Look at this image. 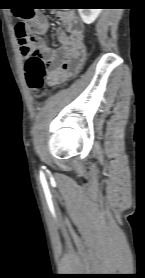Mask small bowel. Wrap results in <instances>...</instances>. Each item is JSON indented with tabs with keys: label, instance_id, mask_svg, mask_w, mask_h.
<instances>
[{
	"label": "small bowel",
	"instance_id": "obj_1",
	"mask_svg": "<svg viewBox=\"0 0 145 278\" xmlns=\"http://www.w3.org/2000/svg\"><path fill=\"white\" fill-rule=\"evenodd\" d=\"M18 17H21L16 13ZM58 18L64 28H59L56 38L59 43L57 49H51L43 35L49 29V22L44 16H33L26 21V26L32 32L34 43L30 52L22 54L28 56L36 54L49 63L51 71L49 82L53 83L60 79L65 65L80 70L86 60V52L83 46L84 26L80 19L73 12H61Z\"/></svg>",
	"mask_w": 145,
	"mask_h": 278
}]
</instances>
